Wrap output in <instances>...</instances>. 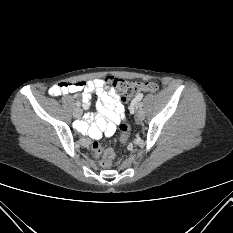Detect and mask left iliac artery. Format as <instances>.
I'll use <instances>...</instances> for the list:
<instances>
[{
    "mask_svg": "<svg viewBox=\"0 0 233 233\" xmlns=\"http://www.w3.org/2000/svg\"><path fill=\"white\" fill-rule=\"evenodd\" d=\"M142 95L141 96H137V100H141L142 99ZM138 106L141 108L142 106H143V104L140 102L139 104H138Z\"/></svg>",
    "mask_w": 233,
    "mask_h": 233,
    "instance_id": "left-iliac-artery-1",
    "label": "left iliac artery"
}]
</instances>
